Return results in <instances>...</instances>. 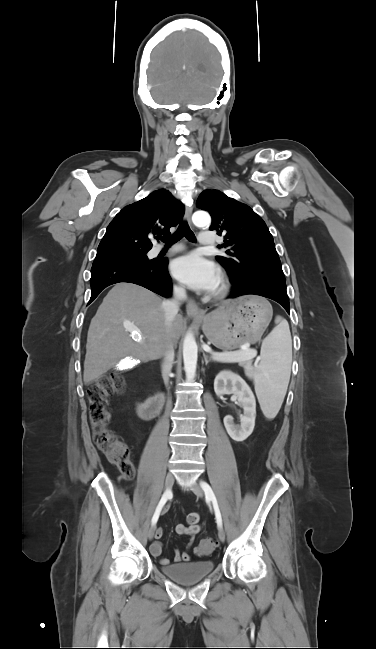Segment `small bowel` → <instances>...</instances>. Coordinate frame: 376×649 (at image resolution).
<instances>
[{
	"label": "small bowel",
	"mask_w": 376,
	"mask_h": 649,
	"mask_svg": "<svg viewBox=\"0 0 376 649\" xmlns=\"http://www.w3.org/2000/svg\"><path fill=\"white\" fill-rule=\"evenodd\" d=\"M196 516L197 518L193 521L192 517ZM200 516L197 512H192L187 515L186 524H178L175 527V531L179 535H186L190 537L188 547L193 544L194 537L201 531V525L199 524ZM163 536V530L158 528L155 532V540L150 545V551L155 557H159L162 552V542L160 541ZM191 559L190 553L188 551H179L176 550L174 553V561H189ZM160 563L162 565H167L170 563L168 558H161Z\"/></svg>",
	"instance_id": "small-bowel-1"
}]
</instances>
